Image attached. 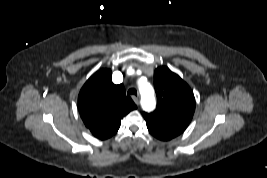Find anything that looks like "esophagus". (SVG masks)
Returning a JSON list of instances; mask_svg holds the SVG:
<instances>
[{"instance_id": "esophagus-1", "label": "esophagus", "mask_w": 267, "mask_h": 178, "mask_svg": "<svg viewBox=\"0 0 267 178\" xmlns=\"http://www.w3.org/2000/svg\"><path fill=\"white\" fill-rule=\"evenodd\" d=\"M132 99H133V101L135 102L136 105H139V102L140 101H139V98L138 97L133 96Z\"/></svg>"}]
</instances>
